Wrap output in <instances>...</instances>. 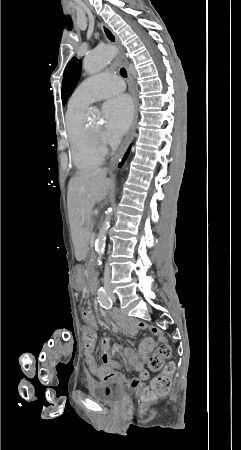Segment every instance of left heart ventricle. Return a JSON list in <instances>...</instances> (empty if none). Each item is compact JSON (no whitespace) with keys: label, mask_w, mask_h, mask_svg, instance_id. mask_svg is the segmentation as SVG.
I'll return each mask as SVG.
<instances>
[{"label":"left heart ventricle","mask_w":241,"mask_h":450,"mask_svg":"<svg viewBox=\"0 0 241 450\" xmlns=\"http://www.w3.org/2000/svg\"><path fill=\"white\" fill-rule=\"evenodd\" d=\"M92 127H93V128H96V125H95V124H93V125H92Z\"/></svg>","instance_id":"b2bd125f"}]
</instances>
